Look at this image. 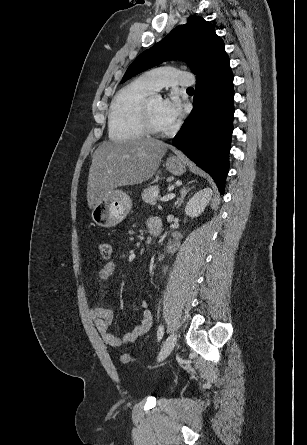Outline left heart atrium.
Instances as JSON below:
<instances>
[{"instance_id": "obj_1", "label": "left heart atrium", "mask_w": 307, "mask_h": 445, "mask_svg": "<svg viewBox=\"0 0 307 445\" xmlns=\"http://www.w3.org/2000/svg\"><path fill=\"white\" fill-rule=\"evenodd\" d=\"M163 112L165 118L173 124L181 116L182 105L177 93L171 92L163 100Z\"/></svg>"}]
</instances>
